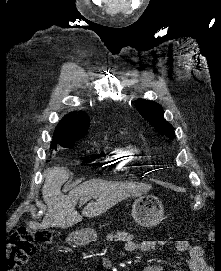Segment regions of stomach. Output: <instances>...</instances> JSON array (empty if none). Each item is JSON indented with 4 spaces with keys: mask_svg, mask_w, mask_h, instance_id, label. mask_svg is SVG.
<instances>
[{
    "mask_svg": "<svg viewBox=\"0 0 221 271\" xmlns=\"http://www.w3.org/2000/svg\"><path fill=\"white\" fill-rule=\"evenodd\" d=\"M163 208L161 202L156 197H138L132 205V217L138 225L143 227H153L160 223L162 219ZM73 238H89L95 241L97 237L94 229L78 230V233L72 234Z\"/></svg>",
    "mask_w": 221,
    "mask_h": 271,
    "instance_id": "0dacf381",
    "label": "stomach"
}]
</instances>
